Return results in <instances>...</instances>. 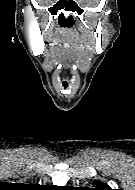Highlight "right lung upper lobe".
<instances>
[{
  "label": "right lung upper lobe",
  "mask_w": 135,
  "mask_h": 190,
  "mask_svg": "<svg viewBox=\"0 0 135 190\" xmlns=\"http://www.w3.org/2000/svg\"><path fill=\"white\" fill-rule=\"evenodd\" d=\"M23 189H42V188H44L43 186H41V185H35V184H33V185H29V186H26V185H24V184H22V186H21Z\"/></svg>",
  "instance_id": "right-lung-upper-lobe-1"
}]
</instances>
